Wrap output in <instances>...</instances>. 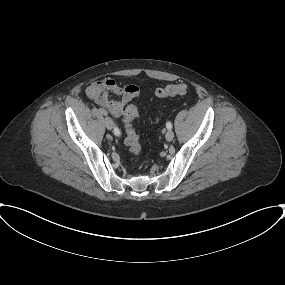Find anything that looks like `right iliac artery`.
Listing matches in <instances>:
<instances>
[{"label": "right iliac artery", "instance_id": "right-iliac-artery-1", "mask_svg": "<svg viewBox=\"0 0 285 285\" xmlns=\"http://www.w3.org/2000/svg\"><path fill=\"white\" fill-rule=\"evenodd\" d=\"M102 113H103L104 115L106 114V112H105L104 110H102ZM114 134H115L116 136H119V135H120V131H119V129H118L117 126H115V128H114Z\"/></svg>", "mask_w": 285, "mask_h": 285}]
</instances>
